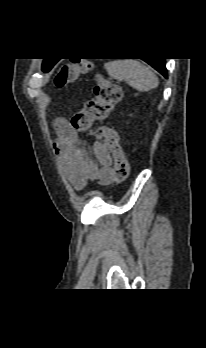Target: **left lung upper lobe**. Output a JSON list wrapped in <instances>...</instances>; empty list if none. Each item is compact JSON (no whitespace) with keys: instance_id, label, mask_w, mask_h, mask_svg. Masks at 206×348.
I'll return each mask as SVG.
<instances>
[{"instance_id":"obj_1","label":"left lung upper lobe","mask_w":206,"mask_h":348,"mask_svg":"<svg viewBox=\"0 0 206 348\" xmlns=\"http://www.w3.org/2000/svg\"><path fill=\"white\" fill-rule=\"evenodd\" d=\"M56 62L54 60H48V59H44L43 61V65H42V70L45 72V71H49L53 65L55 64Z\"/></svg>"}]
</instances>
